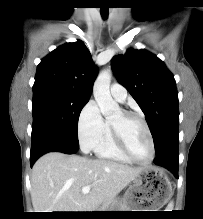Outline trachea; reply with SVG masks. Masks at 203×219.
Listing matches in <instances>:
<instances>
[{"label": "trachea", "mask_w": 203, "mask_h": 219, "mask_svg": "<svg viewBox=\"0 0 203 219\" xmlns=\"http://www.w3.org/2000/svg\"><path fill=\"white\" fill-rule=\"evenodd\" d=\"M101 16H102V18L103 19H107V17H108V11H101Z\"/></svg>", "instance_id": "obj_1"}]
</instances>
